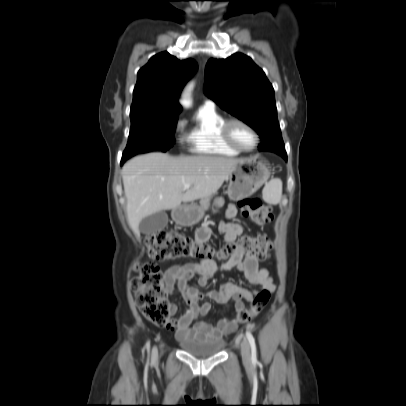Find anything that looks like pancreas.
<instances>
[{
	"label": "pancreas",
	"instance_id": "1",
	"mask_svg": "<svg viewBox=\"0 0 406 406\" xmlns=\"http://www.w3.org/2000/svg\"><path fill=\"white\" fill-rule=\"evenodd\" d=\"M209 201H210V198H203V199H201L200 204H201V207H202L204 210H207V209H208ZM216 204H217L218 206H223V204H224V199H223V198H217V199H216Z\"/></svg>",
	"mask_w": 406,
	"mask_h": 406
}]
</instances>
